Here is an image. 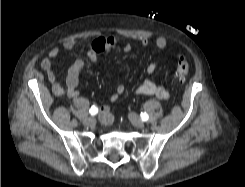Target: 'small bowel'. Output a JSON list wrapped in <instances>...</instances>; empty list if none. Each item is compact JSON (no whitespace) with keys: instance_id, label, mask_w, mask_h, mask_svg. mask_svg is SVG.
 I'll use <instances>...</instances> for the list:
<instances>
[{"instance_id":"c3829d8e","label":"small bowel","mask_w":245,"mask_h":187,"mask_svg":"<svg viewBox=\"0 0 245 187\" xmlns=\"http://www.w3.org/2000/svg\"><path fill=\"white\" fill-rule=\"evenodd\" d=\"M142 46H147L149 44V39L147 37H142L140 39ZM155 45L158 49H164L167 46V39L164 37H159L155 41ZM75 41L67 40L63 44V48L70 51L74 48ZM117 46V42L112 37H100L95 39L88 47L85 58H80L76 60L68 69L66 77V87L62 86L58 82V73L53 69L52 59L59 55V49L53 47L49 50L47 57L43 58L40 66L45 71L48 81L51 84L52 93L55 96L68 95L69 97H77L79 77L83 69L85 68L87 60L95 61L101 54L110 53ZM125 51H130V44H125L123 46ZM157 70V65L155 63H150L147 66V73L153 75ZM126 88L124 85L120 84L116 88V93L110 97V102H115L120 95L124 94ZM136 94L155 96L162 100H167L170 98V92L167 88L156 84L152 79L146 78L135 90ZM102 122L105 125H110L113 122V116L111 114L110 106L103 105L100 108Z\"/></svg>"}]
</instances>
